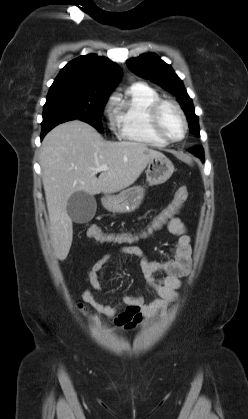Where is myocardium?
I'll return each instance as SVG.
<instances>
[{
  "label": "myocardium",
  "instance_id": "1",
  "mask_svg": "<svg viewBox=\"0 0 248 419\" xmlns=\"http://www.w3.org/2000/svg\"><path fill=\"white\" fill-rule=\"evenodd\" d=\"M164 105H170L174 107L182 120L183 132L182 135L177 139H172L168 137L160 127L159 113ZM148 121L152 132L165 143H177L182 141L185 138L188 131V121L186 115L182 110L181 106L173 100L159 98L158 100L154 101L148 109Z\"/></svg>",
  "mask_w": 248,
  "mask_h": 419
}]
</instances>
